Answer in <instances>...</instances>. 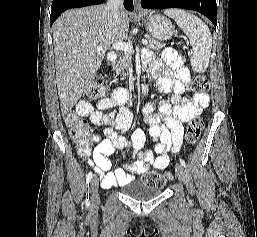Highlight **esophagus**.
Listing matches in <instances>:
<instances>
[{
	"label": "esophagus",
	"instance_id": "esophagus-1",
	"mask_svg": "<svg viewBox=\"0 0 257 237\" xmlns=\"http://www.w3.org/2000/svg\"><path fill=\"white\" fill-rule=\"evenodd\" d=\"M134 2V9L136 12H141V0H133Z\"/></svg>",
	"mask_w": 257,
	"mask_h": 237
}]
</instances>
